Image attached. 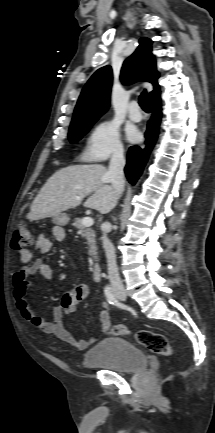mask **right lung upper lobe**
I'll list each match as a JSON object with an SVG mask.
<instances>
[{
  "instance_id": "cb5924a9",
  "label": "right lung upper lobe",
  "mask_w": 215,
  "mask_h": 433,
  "mask_svg": "<svg viewBox=\"0 0 215 433\" xmlns=\"http://www.w3.org/2000/svg\"><path fill=\"white\" fill-rule=\"evenodd\" d=\"M152 41L147 38L139 40V46L128 57L122 66L120 79L123 83L146 81L154 85L149 99L160 94L157 79L159 73L151 49ZM112 69L105 66L98 69L83 88L75 107L71 124L97 120L107 111L110 103L112 86Z\"/></svg>"
}]
</instances>
